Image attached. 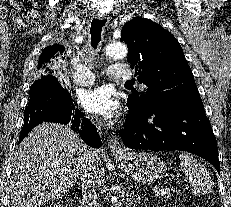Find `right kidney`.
<instances>
[{
  "mask_svg": "<svg viewBox=\"0 0 231 207\" xmlns=\"http://www.w3.org/2000/svg\"><path fill=\"white\" fill-rule=\"evenodd\" d=\"M53 207H63L61 204H54Z\"/></svg>",
  "mask_w": 231,
  "mask_h": 207,
  "instance_id": "right-kidney-1",
  "label": "right kidney"
}]
</instances>
